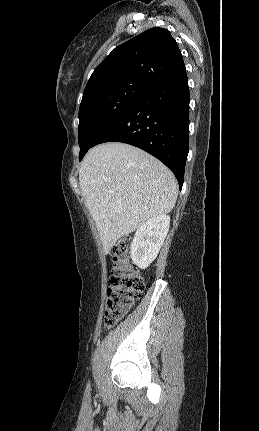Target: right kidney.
<instances>
[{
    "mask_svg": "<svg viewBox=\"0 0 259 431\" xmlns=\"http://www.w3.org/2000/svg\"><path fill=\"white\" fill-rule=\"evenodd\" d=\"M169 226L170 217L163 214L151 217L137 229L131 244V258L139 268H147L156 258Z\"/></svg>",
    "mask_w": 259,
    "mask_h": 431,
    "instance_id": "right-kidney-1",
    "label": "right kidney"
}]
</instances>
